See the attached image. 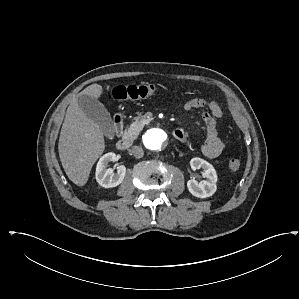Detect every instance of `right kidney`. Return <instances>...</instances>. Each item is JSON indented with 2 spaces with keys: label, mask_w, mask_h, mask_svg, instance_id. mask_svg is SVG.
Segmentation results:
<instances>
[{
  "label": "right kidney",
  "mask_w": 299,
  "mask_h": 299,
  "mask_svg": "<svg viewBox=\"0 0 299 299\" xmlns=\"http://www.w3.org/2000/svg\"><path fill=\"white\" fill-rule=\"evenodd\" d=\"M116 159V154L113 152L107 153L103 155L96 166V181L105 188L116 187L122 183L125 174L126 167L124 165H120L117 167V172L114 173L113 169L108 168V164L111 161Z\"/></svg>",
  "instance_id": "right-kidney-1"
}]
</instances>
